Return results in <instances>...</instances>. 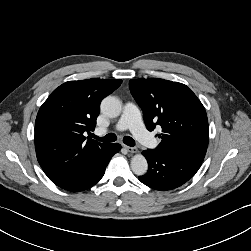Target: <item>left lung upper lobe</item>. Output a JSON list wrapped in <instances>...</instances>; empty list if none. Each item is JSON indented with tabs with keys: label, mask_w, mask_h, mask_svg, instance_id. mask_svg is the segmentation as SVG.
I'll use <instances>...</instances> for the list:
<instances>
[{
	"label": "left lung upper lobe",
	"mask_w": 251,
	"mask_h": 251,
	"mask_svg": "<svg viewBox=\"0 0 251 251\" xmlns=\"http://www.w3.org/2000/svg\"><path fill=\"white\" fill-rule=\"evenodd\" d=\"M132 96L143 111L149 131L161 126V143L154 150L203 161L209 141L204 106L184 84L164 79H132Z\"/></svg>",
	"instance_id": "obj_1"
}]
</instances>
